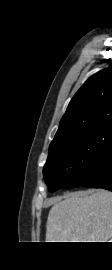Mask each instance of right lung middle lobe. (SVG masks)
I'll return each instance as SVG.
<instances>
[{
    "instance_id": "obj_1",
    "label": "right lung middle lobe",
    "mask_w": 112,
    "mask_h": 270,
    "mask_svg": "<svg viewBox=\"0 0 112 270\" xmlns=\"http://www.w3.org/2000/svg\"><path fill=\"white\" fill-rule=\"evenodd\" d=\"M112 144V122L49 148L43 176L49 191L81 185L92 162Z\"/></svg>"
}]
</instances>
